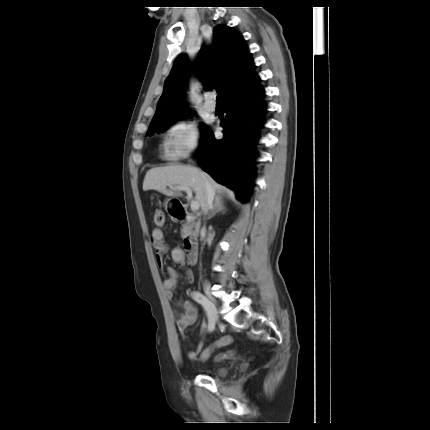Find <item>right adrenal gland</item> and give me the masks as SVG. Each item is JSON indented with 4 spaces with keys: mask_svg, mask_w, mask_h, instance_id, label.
Masks as SVG:
<instances>
[{
    "mask_svg": "<svg viewBox=\"0 0 430 430\" xmlns=\"http://www.w3.org/2000/svg\"><path fill=\"white\" fill-rule=\"evenodd\" d=\"M225 210V206L222 200H217L214 204V207L211 209V212L207 218V220L211 219L213 216L217 214V212H222Z\"/></svg>",
    "mask_w": 430,
    "mask_h": 430,
    "instance_id": "right-adrenal-gland-1",
    "label": "right adrenal gland"
}]
</instances>
